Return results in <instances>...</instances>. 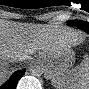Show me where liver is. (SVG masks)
Segmentation results:
<instances>
[{
    "instance_id": "6515ba94",
    "label": "liver",
    "mask_w": 89,
    "mask_h": 89,
    "mask_svg": "<svg viewBox=\"0 0 89 89\" xmlns=\"http://www.w3.org/2000/svg\"><path fill=\"white\" fill-rule=\"evenodd\" d=\"M59 30L55 28H46L41 24H17L16 22L6 21L1 26V60L2 73L7 72V56L10 53L15 54L14 61L29 54L38 51H49L57 47V40H61L63 46L70 48L76 46L79 40H83L81 35L69 32V37L61 38Z\"/></svg>"
}]
</instances>
